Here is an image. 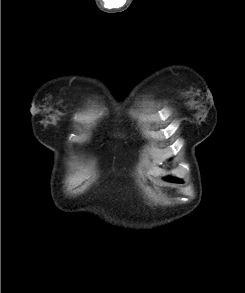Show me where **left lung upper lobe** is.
Here are the masks:
<instances>
[{
  "mask_svg": "<svg viewBox=\"0 0 245 293\" xmlns=\"http://www.w3.org/2000/svg\"><path fill=\"white\" fill-rule=\"evenodd\" d=\"M168 181L170 182H174V183H180L181 181L179 179H176V178H167Z\"/></svg>",
  "mask_w": 245,
  "mask_h": 293,
  "instance_id": "obj_1",
  "label": "left lung upper lobe"
}]
</instances>
